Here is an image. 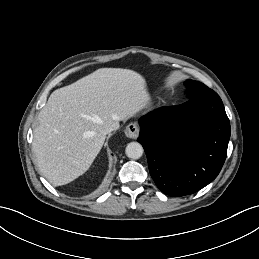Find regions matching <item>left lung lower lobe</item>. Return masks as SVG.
I'll return each mask as SVG.
<instances>
[{
	"label": "left lung lower lobe",
	"mask_w": 259,
	"mask_h": 259,
	"mask_svg": "<svg viewBox=\"0 0 259 259\" xmlns=\"http://www.w3.org/2000/svg\"><path fill=\"white\" fill-rule=\"evenodd\" d=\"M150 174L167 195L193 194L219 174L227 154L230 121L219 95L150 113L139 120Z\"/></svg>",
	"instance_id": "left-lung-lower-lobe-1"
}]
</instances>
